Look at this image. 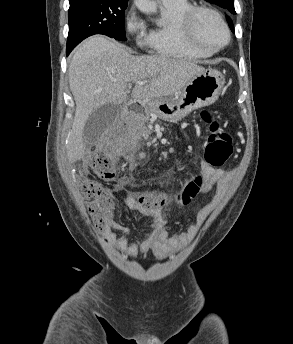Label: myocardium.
Segmentation results:
<instances>
[{"label":"myocardium","mask_w":293,"mask_h":344,"mask_svg":"<svg viewBox=\"0 0 293 344\" xmlns=\"http://www.w3.org/2000/svg\"><path fill=\"white\" fill-rule=\"evenodd\" d=\"M202 13H207L215 17L218 22L222 25V27L225 30L226 33V40L225 42L216 47V48H207L203 44H201L198 39L196 38L195 35V23L197 18L199 17L200 14ZM180 29L181 33L184 37V40L194 49L207 53V54H215L222 49H224L230 42L231 40V31L230 28L225 21L224 17L214 8L207 7V6H195L192 9H190L181 19L180 21Z\"/></svg>","instance_id":"f54148a6"}]
</instances>
